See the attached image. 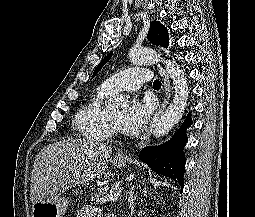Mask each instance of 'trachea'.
<instances>
[{
  "mask_svg": "<svg viewBox=\"0 0 255 217\" xmlns=\"http://www.w3.org/2000/svg\"><path fill=\"white\" fill-rule=\"evenodd\" d=\"M153 87L156 89L161 88V82L159 80H155L153 83Z\"/></svg>",
  "mask_w": 255,
  "mask_h": 217,
  "instance_id": "trachea-1",
  "label": "trachea"
}]
</instances>
